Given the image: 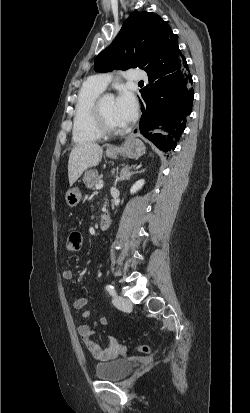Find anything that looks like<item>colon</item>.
<instances>
[{
  "mask_svg": "<svg viewBox=\"0 0 250 413\" xmlns=\"http://www.w3.org/2000/svg\"><path fill=\"white\" fill-rule=\"evenodd\" d=\"M82 247V234L77 230H71L66 237L65 248L68 252H77ZM136 350L141 353H150L152 351L149 345H139Z\"/></svg>",
  "mask_w": 250,
  "mask_h": 413,
  "instance_id": "1",
  "label": "colon"
}]
</instances>
